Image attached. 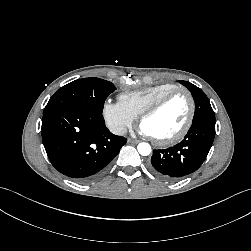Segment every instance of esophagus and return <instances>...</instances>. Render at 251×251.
I'll list each match as a JSON object with an SVG mask.
<instances>
[{"mask_svg": "<svg viewBox=\"0 0 251 251\" xmlns=\"http://www.w3.org/2000/svg\"><path fill=\"white\" fill-rule=\"evenodd\" d=\"M128 142H129V143H132V144H137V143H139L140 141H139V140H136V139H131V138H129V139H128Z\"/></svg>", "mask_w": 251, "mask_h": 251, "instance_id": "1", "label": "esophagus"}]
</instances>
